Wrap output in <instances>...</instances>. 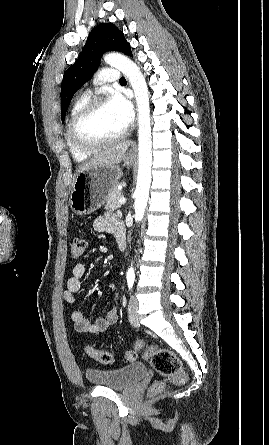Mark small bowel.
Instances as JSON below:
<instances>
[{
  "label": "small bowel",
  "mask_w": 269,
  "mask_h": 445,
  "mask_svg": "<svg viewBox=\"0 0 269 445\" xmlns=\"http://www.w3.org/2000/svg\"><path fill=\"white\" fill-rule=\"evenodd\" d=\"M93 229L97 232H107L114 234L115 236L124 231V227L120 220L113 214L106 213L98 216L93 222ZM86 273V267L83 263H77L72 268V275L67 280L66 289L63 293L64 300L69 304L76 302V294L82 288V278ZM108 289L114 294H117L116 285L110 283ZM71 321L74 325V329L77 332L100 334L107 330L110 326L114 325L118 320V313L114 307L106 312L102 317H99L94 322H90L84 316L83 312L79 309H75L70 314Z\"/></svg>",
  "instance_id": "c3829d8e"
}]
</instances>
